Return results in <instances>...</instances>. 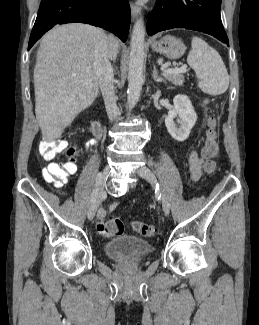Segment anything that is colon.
Instances as JSON below:
<instances>
[{"instance_id":"colon-1","label":"colon","mask_w":259,"mask_h":325,"mask_svg":"<svg viewBox=\"0 0 259 325\" xmlns=\"http://www.w3.org/2000/svg\"><path fill=\"white\" fill-rule=\"evenodd\" d=\"M39 151L42 157L47 160L54 159L61 153L69 157V159L64 163L50 164L43 174L44 179L47 182L54 184L58 188L63 186L67 182L68 177L76 170L73 158L77 153L76 148L70 146L63 140L56 139L41 142ZM217 151L216 121L213 117H210L208 120L207 138L202 148V155L205 158L204 171L206 174L211 175L215 172L216 165L212 158L216 155ZM132 227L136 232L140 233L144 237H152L155 233L154 226L145 222L135 221L133 222ZM105 229L112 235H120L124 231V224L120 218L113 217L106 222Z\"/></svg>"}]
</instances>
